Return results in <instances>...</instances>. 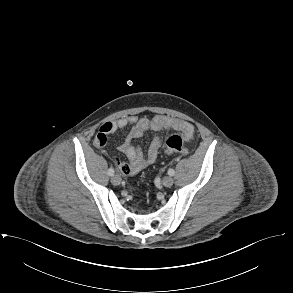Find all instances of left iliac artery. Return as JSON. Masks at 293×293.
I'll use <instances>...</instances> for the list:
<instances>
[{
    "mask_svg": "<svg viewBox=\"0 0 293 293\" xmlns=\"http://www.w3.org/2000/svg\"><path fill=\"white\" fill-rule=\"evenodd\" d=\"M168 174H169L170 176H173V175L175 174V171H174L173 169H169V170H168Z\"/></svg>",
    "mask_w": 293,
    "mask_h": 293,
    "instance_id": "obj_1",
    "label": "left iliac artery"
}]
</instances>
